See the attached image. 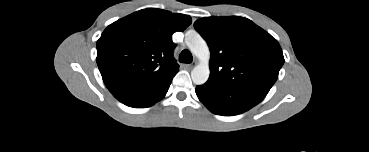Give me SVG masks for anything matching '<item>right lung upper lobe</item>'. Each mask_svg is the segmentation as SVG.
I'll list each match as a JSON object with an SVG mask.
<instances>
[{
    "instance_id": "cb5924a9",
    "label": "right lung upper lobe",
    "mask_w": 369,
    "mask_h": 152,
    "mask_svg": "<svg viewBox=\"0 0 369 152\" xmlns=\"http://www.w3.org/2000/svg\"><path fill=\"white\" fill-rule=\"evenodd\" d=\"M191 17L156 8L142 9L112 24L97 41L103 81L122 103L161 90L179 71L172 35Z\"/></svg>"
}]
</instances>
